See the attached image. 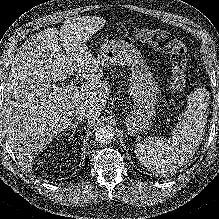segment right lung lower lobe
<instances>
[{
    "instance_id": "98d812e1",
    "label": "right lung lower lobe",
    "mask_w": 219,
    "mask_h": 219,
    "mask_svg": "<svg viewBox=\"0 0 219 219\" xmlns=\"http://www.w3.org/2000/svg\"><path fill=\"white\" fill-rule=\"evenodd\" d=\"M87 164H88V162H87V159H86L84 168L87 166ZM71 180H72V178H71V179H68V181H71Z\"/></svg>"
}]
</instances>
